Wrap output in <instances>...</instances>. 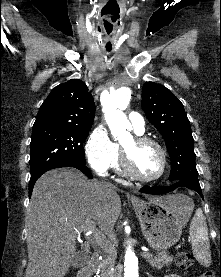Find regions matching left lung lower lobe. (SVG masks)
Segmentation results:
<instances>
[{"instance_id":"1","label":"left lung lower lobe","mask_w":221,"mask_h":277,"mask_svg":"<svg viewBox=\"0 0 221 277\" xmlns=\"http://www.w3.org/2000/svg\"><path fill=\"white\" fill-rule=\"evenodd\" d=\"M178 187L190 188V189L196 191L197 193H199V195L203 198V195L201 192V187H200L199 183H192V182L183 181V180L173 182L169 186H153V187L145 186V187H142L140 189V191L143 193H147V194H164V193L171 192Z\"/></svg>"}]
</instances>
